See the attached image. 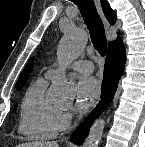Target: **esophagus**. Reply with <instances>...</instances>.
<instances>
[{"instance_id": "1", "label": "esophagus", "mask_w": 145, "mask_h": 147, "mask_svg": "<svg viewBox=\"0 0 145 147\" xmlns=\"http://www.w3.org/2000/svg\"><path fill=\"white\" fill-rule=\"evenodd\" d=\"M94 1H95L97 10H98V12H99V14H100V16L102 18V21L104 23L106 31H109L110 30V24H109L107 18L104 16L103 12H102L100 1L99 0H94Z\"/></svg>"}]
</instances>
